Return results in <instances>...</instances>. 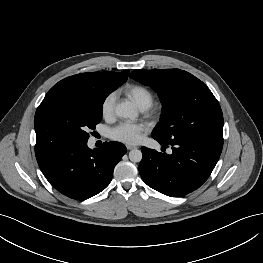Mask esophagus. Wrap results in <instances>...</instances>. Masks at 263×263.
I'll use <instances>...</instances> for the list:
<instances>
[{"mask_svg":"<svg viewBox=\"0 0 263 263\" xmlns=\"http://www.w3.org/2000/svg\"><path fill=\"white\" fill-rule=\"evenodd\" d=\"M128 150L136 149L137 147L134 145H126Z\"/></svg>","mask_w":263,"mask_h":263,"instance_id":"esophagus-1","label":"esophagus"}]
</instances>
